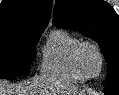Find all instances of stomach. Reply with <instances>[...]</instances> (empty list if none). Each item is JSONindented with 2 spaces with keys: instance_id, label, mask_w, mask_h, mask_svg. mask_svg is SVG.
Here are the masks:
<instances>
[{
  "instance_id": "1",
  "label": "stomach",
  "mask_w": 119,
  "mask_h": 95,
  "mask_svg": "<svg viewBox=\"0 0 119 95\" xmlns=\"http://www.w3.org/2000/svg\"><path fill=\"white\" fill-rule=\"evenodd\" d=\"M71 95H87L85 92H81V91H75L73 92Z\"/></svg>"
}]
</instances>
